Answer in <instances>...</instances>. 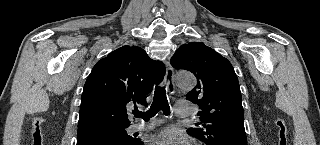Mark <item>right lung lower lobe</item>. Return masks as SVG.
<instances>
[{
    "label": "right lung lower lobe",
    "instance_id": "obj_1",
    "mask_svg": "<svg viewBox=\"0 0 320 145\" xmlns=\"http://www.w3.org/2000/svg\"><path fill=\"white\" fill-rule=\"evenodd\" d=\"M138 138L124 141L101 131H90L77 135V145H142Z\"/></svg>",
    "mask_w": 320,
    "mask_h": 145
}]
</instances>
